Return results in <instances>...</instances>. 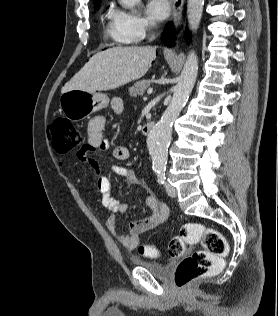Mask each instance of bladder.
I'll use <instances>...</instances> for the list:
<instances>
[{
	"instance_id": "obj_1",
	"label": "bladder",
	"mask_w": 278,
	"mask_h": 316,
	"mask_svg": "<svg viewBox=\"0 0 278 316\" xmlns=\"http://www.w3.org/2000/svg\"><path fill=\"white\" fill-rule=\"evenodd\" d=\"M133 263L139 267L144 268L153 276L157 278H161V279H165L169 277L173 268V265L171 263L161 264V263L146 261V260L137 259V258L133 259Z\"/></svg>"
}]
</instances>
